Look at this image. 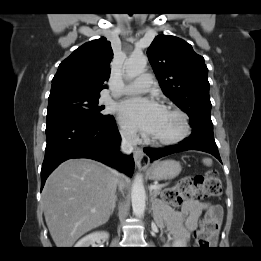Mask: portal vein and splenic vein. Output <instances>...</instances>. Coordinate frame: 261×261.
<instances>
[{"label": "portal vein and splenic vein", "mask_w": 261, "mask_h": 261, "mask_svg": "<svg viewBox=\"0 0 261 261\" xmlns=\"http://www.w3.org/2000/svg\"><path fill=\"white\" fill-rule=\"evenodd\" d=\"M164 185H150L149 189L154 190L163 187Z\"/></svg>", "instance_id": "portal-vein-and-splenic-vein-1"}]
</instances>
